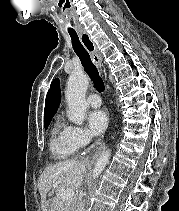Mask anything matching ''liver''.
Masks as SVG:
<instances>
[{"mask_svg":"<svg viewBox=\"0 0 179 211\" xmlns=\"http://www.w3.org/2000/svg\"><path fill=\"white\" fill-rule=\"evenodd\" d=\"M87 173V164L83 159L66 160L57 164L48 166L41 174L38 181L43 211H58L57 204L54 201L47 200V193L52 188H71L79 189ZM62 180L60 185L54 187L56 181Z\"/></svg>","mask_w":179,"mask_h":211,"instance_id":"liver-1","label":"liver"}]
</instances>
